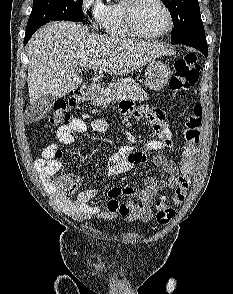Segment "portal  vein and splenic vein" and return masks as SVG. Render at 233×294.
Listing matches in <instances>:
<instances>
[{
	"label": "portal vein and splenic vein",
	"instance_id": "1",
	"mask_svg": "<svg viewBox=\"0 0 233 294\" xmlns=\"http://www.w3.org/2000/svg\"><path fill=\"white\" fill-rule=\"evenodd\" d=\"M92 64H94L93 61H91V60H87V59H83V60L79 63V66H80V67H86V66H90V65H92Z\"/></svg>",
	"mask_w": 233,
	"mask_h": 294
}]
</instances>
